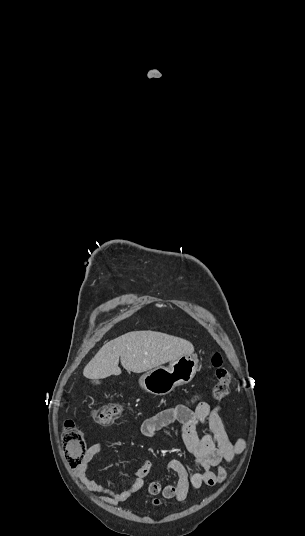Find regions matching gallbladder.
I'll use <instances>...</instances> for the list:
<instances>
[{
  "label": "gallbladder",
  "instance_id": "bac80fb5",
  "mask_svg": "<svg viewBox=\"0 0 305 536\" xmlns=\"http://www.w3.org/2000/svg\"><path fill=\"white\" fill-rule=\"evenodd\" d=\"M93 384H100L99 380H92Z\"/></svg>",
  "mask_w": 305,
  "mask_h": 536
}]
</instances>
